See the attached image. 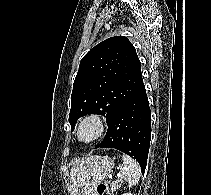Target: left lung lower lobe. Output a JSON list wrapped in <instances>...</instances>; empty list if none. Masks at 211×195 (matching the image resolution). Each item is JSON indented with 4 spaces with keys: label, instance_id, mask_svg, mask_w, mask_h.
<instances>
[{
    "label": "left lung lower lobe",
    "instance_id": "left-lung-lower-lobe-1",
    "mask_svg": "<svg viewBox=\"0 0 211 195\" xmlns=\"http://www.w3.org/2000/svg\"><path fill=\"white\" fill-rule=\"evenodd\" d=\"M151 138V111L145 85L123 104L108 124L103 141L95 148H114L135 158L144 173Z\"/></svg>",
    "mask_w": 211,
    "mask_h": 195
}]
</instances>
